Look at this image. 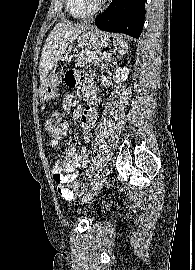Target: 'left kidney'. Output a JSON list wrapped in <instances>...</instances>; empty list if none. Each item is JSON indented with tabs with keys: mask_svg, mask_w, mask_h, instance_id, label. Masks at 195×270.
I'll list each match as a JSON object with an SVG mask.
<instances>
[{
	"mask_svg": "<svg viewBox=\"0 0 195 270\" xmlns=\"http://www.w3.org/2000/svg\"><path fill=\"white\" fill-rule=\"evenodd\" d=\"M129 69L126 67H118L113 75V79L116 83H120L125 81L128 78Z\"/></svg>",
	"mask_w": 195,
	"mask_h": 270,
	"instance_id": "1",
	"label": "left kidney"
}]
</instances>
